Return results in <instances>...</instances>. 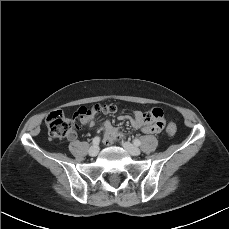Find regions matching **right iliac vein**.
<instances>
[{
  "label": "right iliac vein",
  "mask_w": 229,
  "mask_h": 229,
  "mask_svg": "<svg viewBox=\"0 0 229 229\" xmlns=\"http://www.w3.org/2000/svg\"><path fill=\"white\" fill-rule=\"evenodd\" d=\"M99 152V147L94 145L89 149V155L90 156H96Z\"/></svg>",
  "instance_id": "right-iliac-vein-1"
}]
</instances>
